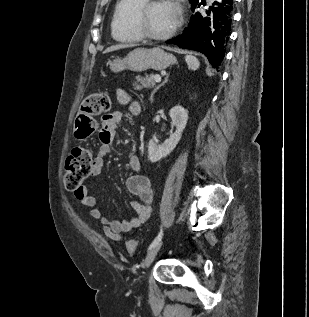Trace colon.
Here are the masks:
<instances>
[{"label":"colon","instance_id":"1","mask_svg":"<svg viewBox=\"0 0 309 317\" xmlns=\"http://www.w3.org/2000/svg\"><path fill=\"white\" fill-rule=\"evenodd\" d=\"M111 107L110 97L103 92L88 95L82 102L80 112L75 120V134L77 138L89 137L96 128L95 117L108 111ZM94 158L91 150L76 147L66 159L64 185L76 192L85 179L91 174ZM131 253L136 251V243L130 240L127 244Z\"/></svg>","mask_w":309,"mask_h":317}]
</instances>
